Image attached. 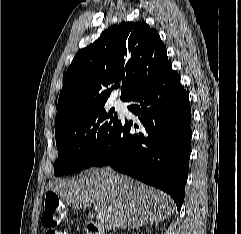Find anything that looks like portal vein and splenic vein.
<instances>
[{
  "mask_svg": "<svg viewBox=\"0 0 241 234\" xmlns=\"http://www.w3.org/2000/svg\"><path fill=\"white\" fill-rule=\"evenodd\" d=\"M97 207H95V210L97 211ZM96 218L98 219V220H100V221H102V215H101V213H99L98 211H97V215H96Z\"/></svg>",
  "mask_w": 241,
  "mask_h": 234,
  "instance_id": "1",
  "label": "portal vein and splenic vein"
}]
</instances>
